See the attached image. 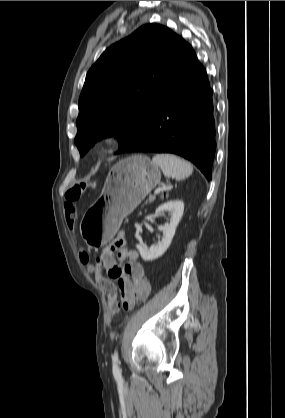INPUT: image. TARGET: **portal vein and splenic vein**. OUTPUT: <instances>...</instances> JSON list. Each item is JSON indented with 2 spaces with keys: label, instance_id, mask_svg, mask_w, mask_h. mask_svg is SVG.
Segmentation results:
<instances>
[{
  "label": "portal vein and splenic vein",
  "instance_id": "1",
  "mask_svg": "<svg viewBox=\"0 0 285 418\" xmlns=\"http://www.w3.org/2000/svg\"><path fill=\"white\" fill-rule=\"evenodd\" d=\"M162 191L161 187H158L155 191H154V195L159 194Z\"/></svg>",
  "mask_w": 285,
  "mask_h": 418
}]
</instances>
